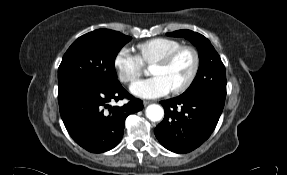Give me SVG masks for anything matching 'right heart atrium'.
<instances>
[{
  "label": "right heart atrium",
  "instance_id": "obj_1",
  "mask_svg": "<svg viewBox=\"0 0 287 175\" xmlns=\"http://www.w3.org/2000/svg\"><path fill=\"white\" fill-rule=\"evenodd\" d=\"M114 66L119 79L124 83H133L144 72L145 65L139 55L129 48L122 47L114 58Z\"/></svg>",
  "mask_w": 287,
  "mask_h": 175
}]
</instances>
